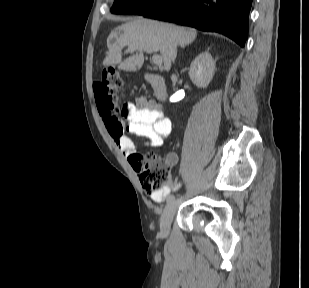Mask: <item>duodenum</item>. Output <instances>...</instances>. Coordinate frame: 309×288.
Segmentation results:
<instances>
[{"instance_id":"410a0bca","label":"duodenum","mask_w":309,"mask_h":288,"mask_svg":"<svg viewBox=\"0 0 309 288\" xmlns=\"http://www.w3.org/2000/svg\"><path fill=\"white\" fill-rule=\"evenodd\" d=\"M147 80L151 84L157 99L164 101L167 97V88L164 79L158 74L149 73Z\"/></svg>"}]
</instances>
